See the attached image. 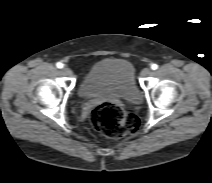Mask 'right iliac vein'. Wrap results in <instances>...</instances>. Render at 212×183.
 I'll return each instance as SVG.
<instances>
[{
    "mask_svg": "<svg viewBox=\"0 0 212 183\" xmlns=\"http://www.w3.org/2000/svg\"><path fill=\"white\" fill-rule=\"evenodd\" d=\"M63 72L64 74L68 75V76H71L72 75V70L68 67H64L63 68Z\"/></svg>",
    "mask_w": 212,
    "mask_h": 183,
    "instance_id": "1",
    "label": "right iliac vein"
}]
</instances>
